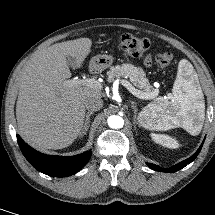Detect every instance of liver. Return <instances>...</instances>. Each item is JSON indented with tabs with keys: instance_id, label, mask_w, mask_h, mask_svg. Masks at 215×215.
I'll use <instances>...</instances> for the list:
<instances>
[{
	"instance_id": "obj_1",
	"label": "liver",
	"mask_w": 215,
	"mask_h": 215,
	"mask_svg": "<svg viewBox=\"0 0 215 215\" xmlns=\"http://www.w3.org/2000/svg\"><path fill=\"white\" fill-rule=\"evenodd\" d=\"M91 45L89 38L56 43L35 52L23 67L16 118L20 135L31 145L40 149L71 145L84 126L86 98L103 96L100 89L65 84L71 77L67 57L81 67Z\"/></svg>"
}]
</instances>
